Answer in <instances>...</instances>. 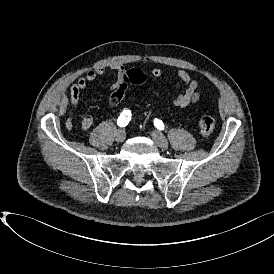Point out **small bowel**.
Returning <instances> with one entry per match:
<instances>
[{"mask_svg":"<svg viewBox=\"0 0 274 274\" xmlns=\"http://www.w3.org/2000/svg\"><path fill=\"white\" fill-rule=\"evenodd\" d=\"M109 69L114 71L117 75L115 82L109 88V92L113 93L124 82L126 69L122 64L118 63L111 64ZM105 72L106 69L104 67L91 69L86 74L80 76L76 81L72 82L70 86V102L73 107H76L79 104L81 95L87 85L95 82L97 78L103 76ZM148 75L149 78L156 83L164 75V70L160 67H154L148 71ZM176 79L178 81V86L182 87V90L172 100L173 106L178 109H183L196 103L202 94V88L199 81L192 78L191 75L182 68L176 70ZM93 123L94 119L92 116H85L81 120V129L83 131H88Z\"/></svg>","mask_w":274,"mask_h":274,"instance_id":"c3829d8e","label":"small bowel"}]
</instances>
